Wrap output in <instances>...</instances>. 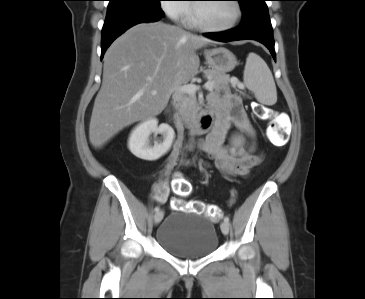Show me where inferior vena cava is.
Segmentation results:
<instances>
[{
  "instance_id": "obj_1",
  "label": "inferior vena cava",
  "mask_w": 365,
  "mask_h": 299,
  "mask_svg": "<svg viewBox=\"0 0 365 299\" xmlns=\"http://www.w3.org/2000/svg\"><path fill=\"white\" fill-rule=\"evenodd\" d=\"M174 101L178 102L177 106H179L180 108H183L184 106V100L181 97L180 94H178L177 92L174 94Z\"/></svg>"
}]
</instances>
